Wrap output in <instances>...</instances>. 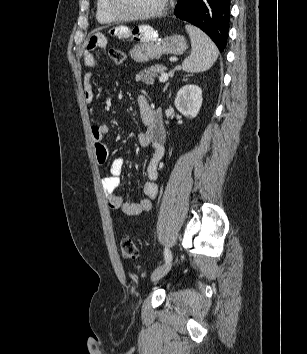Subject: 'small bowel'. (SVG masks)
<instances>
[{
  "label": "small bowel",
  "instance_id": "small-bowel-1",
  "mask_svg": "<svg viewBox=\"0 0 307 354\" xmlns=\"http://www.w3.org/2000/svg\"><path fill=\"white\" fill-rule=\"evenodd\" d=\"M111 35L117 38H134V31H126L123 28H115ZM105 40L102 37L90 39L84 52L83 61L87 67L97 66L98 60L96 50L104 47ZM93 72L86 73L83 81V90L86 101L94 100ZM140 116L145 129L138 135V143L141 147H151L153 155L146 167V181L143 185L144 198L138 202H125L117 189L120 186V176L124 167L123 158H115L110 165L109 175L102 179V187L106 194L108 204L113 209H121L128 216L140 215L148 212L152 206V200L158 194L156 180L158 178V166L164 155L165 132L162 121L157 112L151 107L149 99L145 95L138 97ZM109 133V126L99 123L91 128V135L94 143L97 162L103 164L108 158V148L103 142L104 137Z\"/></svg>",
  "mask_w": 307,
  "mask_h": 354
}]
</instances>
